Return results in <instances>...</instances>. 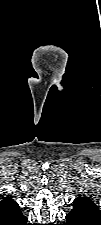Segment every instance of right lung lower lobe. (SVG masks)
Returning <instances> with one entry per match:
<instances>
[{
    "label": "right lung lower lobe",
    "mask_w": 101,
    "mask_h": 225,
    "mask_svg": "<svg viewBox=\"0 0 101 225\" xmlns=\"http://www.w3.org/2000/svg\"><path fill=\"white\" fill-rule=\"evenodd\" d=\"M27 222H28V219L25 217V218L23 219V221H21V222L19 223V225H30V224H28Z\"/></svg>",
    "instance_id": "obj_1"
}]
</instances>
